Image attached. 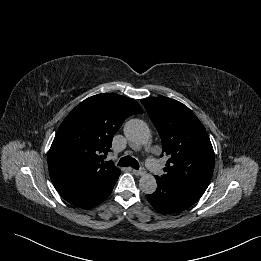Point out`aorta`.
Returning <instances> with one entry per match:
<instances>
[{"label": "aorta", "mask_w": 261, "mask_h": 261, "mask_svg": "<svg viewBox=\"0 0 261 261\" xmlns=\"http://www.w3.org/2000/svg\"><path fill=\"white\" fill-rule=\"evenodd\" d=\"M126 138L135 145H144L150 139V130L145 122L139 119L129 120L124 126ZM139 188L145 194H152L157 189V182L153 175L144 174L139 180Z\"/></svg>", "instance_id": "aorta-1"}]
</instances>
